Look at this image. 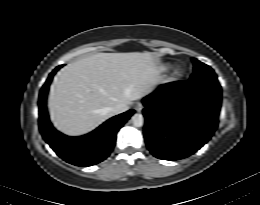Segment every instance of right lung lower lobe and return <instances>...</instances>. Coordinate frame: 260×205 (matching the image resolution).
<instances>
[{
  "mask_svg": "<svg viewBox=\"0 0 260 205\" xmlns=\"http://www.w3.org/2000/svg\"><path fill=\"white\" fill-rule=\"evenodd\" d=\"M61 67L58 66L49 74L40 91L39 128L41 134L56 154L66 162L83 167L95 165L109 156L115 145L117 131L130 118L134 110H129L109 119L96 130L84 136L68 137L61 134L53 128L46 109L50 82Z\"/></svg>",
  "mask_w": 260,
  "mask_h": 205,
  "instance_id": "right-lung-lower-lobe-1",
  "label": "right lung lower lobe"
}]
</instances>
